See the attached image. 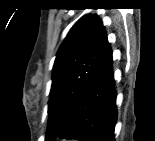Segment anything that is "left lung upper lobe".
Here are the masks:
<instances>
[{"label": "left lung upper lobe", "mask_w": 155, "mask_h": 141, "mask_svg": "<svg viewBox=\"0 0 155 141\" xmlns=\"http://www.w3.org/2000/svg\"><path fill=\"white\" fill-rule=\"evenodd\" d=\"M108 45L105 27L97 15L83 16L69 31L53 66L49 139L59 136L65 119L94 75Z\"/></svg>", "instance_id": "5c2ea615"}]
</instances>
